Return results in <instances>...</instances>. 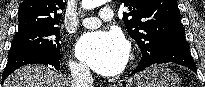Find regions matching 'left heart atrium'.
<instances>
[{
    "instance_id": "obj_1",
    "label": "left heart atrium",
    "mask_w": 205,
    "mask_h": 87,
    "mask_svg": "<svg viewBox=\"0 0 205 87\" xmlns=\"http://www.w3.org/2000/svg\"><path fill=\"white\" fill-rule=\"evenodd\" d=\"M76 53L93 70L104 76L119 74L129 56V47L117 31H95L84 34L77 42Z\"/></svg>"
}]
</instances>
